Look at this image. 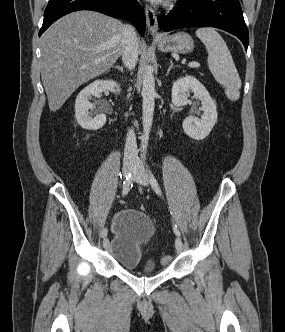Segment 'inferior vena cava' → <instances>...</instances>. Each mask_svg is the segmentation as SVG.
<instances>
[{"instance_id": "1", "label": "inferior vena cava", "mask_w": 285, "mask_h": 332, "mask_svg": "<svg viewBox=\"0 0 285 332\" xmlns=\"http://www.w3.org/2000/svg\"><path fill=\"white\" fill-rule=\"evenodd\" d=\"M138 60V40L136 31L131 25H124V37L122 45V61L130 70L133 69ZM138 161V150L136 137L133 130H129L124 150V163H135Z\"/></svg>"}]
</instances>
